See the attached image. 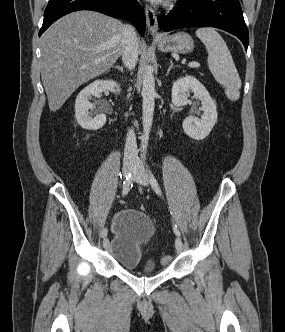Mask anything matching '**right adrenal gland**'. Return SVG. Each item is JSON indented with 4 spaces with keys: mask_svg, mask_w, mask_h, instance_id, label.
<instances>
[{
    "mask_svg": "<svg viewBox=\"0 0 285 332\" xmlns=\"http://www.w3.org/2000/svg\"><path fill=\"white\" fill-rule=\"evenodd\" d=\"M115 68H116L118 71L124 73V68H123L122 66H115Z\"/></svg>",
    "mask_w": 285,
    "mask_h": 332,
    "instance_id": "2a0ac1e0",
    "label": "right adrenal gland"
}]
</instances>
